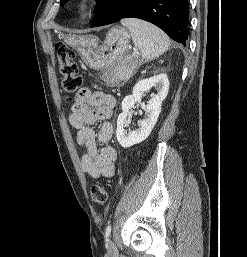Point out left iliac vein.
<instances>
[{
    "instance_id": "left-iliac-vein-1",
    "label": "left iliac vein",
    "mask_w": 247,
    "mask_h": 257,
    "mask_svg": "<svg viewBox=\"0 0 247 257\" xmlns=\"http://www.w3.org/2000/svg\"><path fill=\"white\" fill-rule=\"evenodd\" d=\"M108 252L110 255H113V256L117 255V253H118L117 247L112 240H109V242H108Z\"/></svg>"
}]
</instances>
